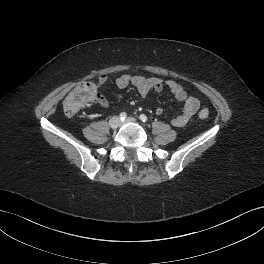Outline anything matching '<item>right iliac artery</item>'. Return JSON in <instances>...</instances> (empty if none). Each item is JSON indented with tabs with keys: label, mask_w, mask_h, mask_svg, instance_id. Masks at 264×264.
<instances>
[{
	"label": "right iliac artery",
	"mask_w": 264,
	"mask_h": 264,
	"mask_svg": "<svg viewBox=\"0 0 264 264\" xmlns=\"http://www.w3.org/2000/svg\"><path fill=\"white\" fill-rule=\"evenodd\" d=\"M127 117V114L125 112H122L120 115H119V118L121 120H124L125 118Z\"/></svg>",
	"instance_id": "1"
}]
</instances>
